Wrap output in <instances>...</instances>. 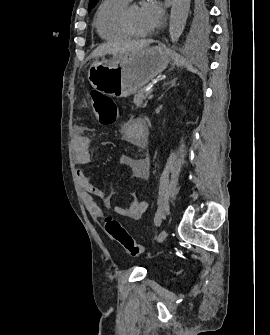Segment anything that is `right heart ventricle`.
<instances>
[{"instance_id":"e07e8e85","label":"right heart ventricle","mask_w":270,"mask_h":335,"mask_svg":"<svg viewBox=\"0 0 270 335\" xmlns=\"http://www.w3.org/2000/svg\"><path fill=\"white\" fill-rule=\"evenodd\" d=\"M129 3L122 0H103L95 15L97 34L105 40L117 41L131 37L122 27L120 16ZM151 78V77H128Z\"/></svg>"}]
</instances>
